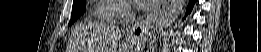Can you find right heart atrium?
Segmentation results:
<instances>
[{
	"label": "right heart atrium",
	"mask_w": 261,
	"mask_h": 52,
	"mask_svg": "<svg viewBox=\"0 0 261 52\" xmlns=\"http://www.w3.org/2000/svg\"><path fill=\"white\" fill-rule=\"evenodd\" d=\"M112 1V0H109ZM132 15V10L129 6H124L117 11V16L120 18H129Z\"/></svg>",
	"instance_id": "obj_1"
}]
</instances>
